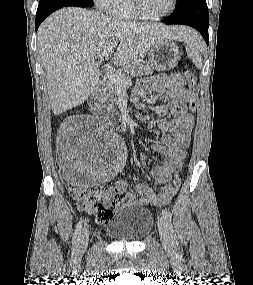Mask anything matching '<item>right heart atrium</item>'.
<instances>
[{
	"label": "right heart atrium",
	"instance_id": "obj_1",
	"mask_svg": "<svg viewBox=\"0 0 253 285\" xmlns=\"http://www.w3.org/2000/svg\"><path fill=\"white\" fill-rule=\"evenodd\" d=\"M113 0H94L96 6L101 10H108Z\"/></svg>",
	"mask_w": 253,
	"mask_h": 285
}]
</instances>
